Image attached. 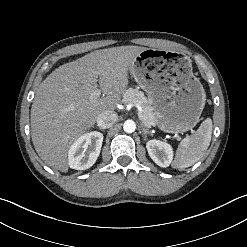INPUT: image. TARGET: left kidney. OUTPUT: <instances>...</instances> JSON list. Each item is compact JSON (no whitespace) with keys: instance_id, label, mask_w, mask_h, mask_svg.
Returning <instances> with one entry per match:
<instances>
[{"instance_id":"left-kidney-1","label":"left kidney","mask_w":247,"mask_h":247,"mask_svg":"<svg viewBox=\"0 0 247 247\" xmlns=\"http://www.w3.org/2000/svg\"><path fill=\"white\" fill-rule=\"evenodd\" d=\"M146 148L151 159L160 167H168L173 159V149L170 144L159 140H149Z\"/></svg>"}]
</instances>
